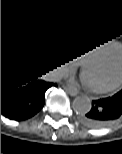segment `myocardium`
Listing matches in <instances>:
<instances>
[{
	"instance_id": "obj_1",
	"label": "myocardium",
	"mask_w": 122,
	"mask_h": 154,
	"mask_svg": "<svg viewBox=\"0 0 122 154\" xmlns=\"http://www.w3.org/2000/svg\"><path fill=\"white\" fill-rule=\"evenodd\" d=\"M103 53L104 52L98 53V54H95L93 56H90V57L86 58L85 60H83V62L81 64L82 67H86L87 65L93 63L99 57H101V55H103ZM120 85H122V75L119 77V79H117L116 81H114V82H112L110 84H107V85H103V86H90L89 85V89L93 93H107V92H110V91L116 89Z\"/></svg>"
}]
</instances>
